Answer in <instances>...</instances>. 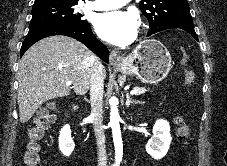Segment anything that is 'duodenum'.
Listing matches in <instances>:
<instances>
[{"label":"duodenum","instance_id":"1","mask_svg":"<svg viewBox=\"0 0 227 166\" xmlns=\"http://www.w3.org/2000/svg\"><path fill=\"white\" fill-rule=\"evenodd\" d=\"M79 108H80V106H79L78 104H74V105H73V109H74V111L79 110Z\"/></svg>","mask_w":227,"mask_h":166}]
</instances>
